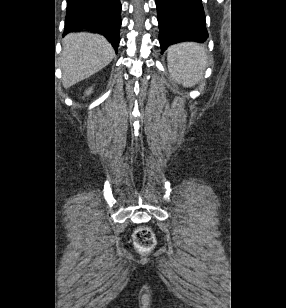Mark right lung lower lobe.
Returning <instances> with one entry per match:
<instances>
[{"label":"right lung lower lobe","instance_id":"right-lung-lower-lobe-1","mask_svg":"<svg viewBox=\"0 0 286 308\" xmlns=\"http://www.w3.org/2000/svg\"><path fill=\"white\" fill-rule=\"evenodd\" d=\"M120 12V0H67L64 35L75 30H92L104 35L117 51Z\"/></svg>","mask_w":286,"mask_h":308}]
</instances>
